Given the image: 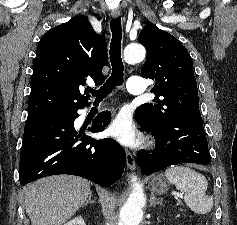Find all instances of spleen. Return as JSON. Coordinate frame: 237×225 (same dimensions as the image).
I'll list each match as a JSON object with an SVG mask.
<instances>
[{
	"label": "spleen",
	"mask_w": 237,
	"mask_h": 225,
	"mask_svg": "<svg viewBox=\"0 0 237 225\" xmlns=\"http://www.w3.org/2000/svg\"><path fill=\"white\" fill-rule=\"evenodd\" d=\"M166 179L184 193L187 206L197 214H206L213 207V197L206 194L208 181L202 174L186 166H173L165 171Z\"/></svg>",
	"instance_id": "spleen-1"
}]
</instances>
